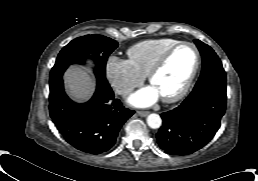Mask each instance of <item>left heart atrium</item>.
Here are the masks:
<instances>
[{"label":"left heart atrium","mask_w":258,"mask_h":181,"mask_svg":"<svg viewBox=\"0 0 258 181\" xmlns=\"http://www.w3.org/2000/svg\"><path fill=\"white\" fill-rule=\"evenodd\" d=\"M159 96L153 86H147L133 94L129 99V103L136 107H147L152 105Z\"/></svg>","instance_id":"obj_1"}]
</instances>
